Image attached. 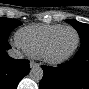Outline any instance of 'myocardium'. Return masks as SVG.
Instances as JSON below:
<instances>
[{"label": "myocardium", "mask_w": 89, "mask_h": 89, "mask_svg": "<svg viewBox=\"0 0 89 89\" xmlns=\"http://www.w3.org/2000/svg\"><path fill=\"white\" fill-rule=\"evenodd\" d=\"M65 30H72L76 34V42H75L73 48L71 49V51L69 53H67L64 56H61V57L49 56L48 49H49L52 41L54 40L55 37H57L61 32L65 31ZM79 44H80V34H79L78 30L76 28H74L73 26H63L47 38V40L45 41V43L42 46L40 58L49 64L64 63L67 60H69L76 53V51L79 47Z\"/></svg>", "instance_id": "1"}]
</instances>
